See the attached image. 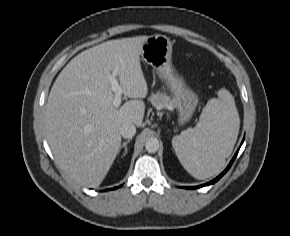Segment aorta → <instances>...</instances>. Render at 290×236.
I'll return each instance as SVG.
<instances>
[{
	"label": "aorta",
	"mask_w": 290,
	"mask_h": 236,
	"mask_svg": "<svg viewBox=\"0 0 290 236\" xmlns=\"http://www.w3.org/2000/svg\"><path fill=\"white\" fill-rule=\"evenodd\" d=\"M145 149L149 153H155L159 149V141L157 138H149L145 143Z\"/></svg>",
	"instance_id": "aorta-1"
}]
</instances>
